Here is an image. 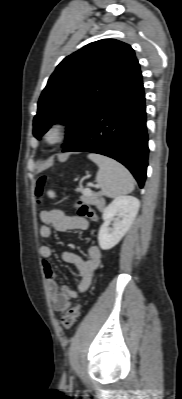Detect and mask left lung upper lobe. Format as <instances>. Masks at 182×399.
Instances as JSON below:
<instances>
[{
	"instance_id": "left-lung-upper-lobe-1",
	"label": "left lung upper lobe",
	"mask_w": 182,
	"mask_h": 399,
	"mask_svg": "<svg viewBox=\"0 0 182 399\" xmlns=\"http://www.w3.org/2000/svg\"><path fill=\"white\" fill-rule=\"evenodd\" d=\"M140 72L134 50L104 39L67 56L56 67L38 101L33 135L40 137L55 122L66 124L63 148L75 141L106 102Z\"/></svg>"
}]
</instances>
